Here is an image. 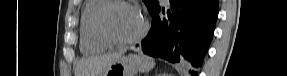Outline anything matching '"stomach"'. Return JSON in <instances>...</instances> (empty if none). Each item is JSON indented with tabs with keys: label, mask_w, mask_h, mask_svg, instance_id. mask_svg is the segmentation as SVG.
I'll use <instances>...</instances> for the list:
<instances>
[{
	"label": "stomach",
	"mask_w": 287,
	"mask_h": 76,
	"mask_svg": "<svg viewBox=\"0 0 287 76\" xmlns=\"http://www.w3.org/2000/svg\"><path fill=\"white\" fill-rule=\"evenodd\" d=\"M139 64L132 56H123L111 64L100 76H136Z\"/></svg>",
	"instance_id": "1"
}]
</instances>
